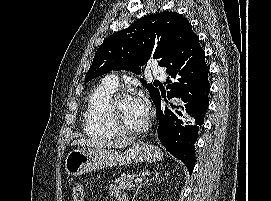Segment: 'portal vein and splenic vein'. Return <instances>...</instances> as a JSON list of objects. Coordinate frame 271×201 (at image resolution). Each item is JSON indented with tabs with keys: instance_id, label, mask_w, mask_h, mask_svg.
Instances as JSON below:
<instances>
[{
	"instance_id": "1",
	"label": "portal vein and splenic vein",
	"mask_w": 271,
	"mask_h": 201,
	"mask_svg": "<svg viewBox=\"0 0 271 201\" xmlns=\"http://www.w3.org/2000/svg\"><path fill=\"white\" fill-rule=\"evenodd\" d=\"M140 182H142V179H141V178H136V179H135V183H140Z\"/></svg>"
}]
</instances>
